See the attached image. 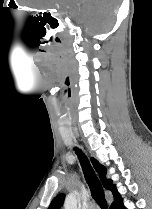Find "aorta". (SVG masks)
Returning a JSON list of instances; mask_svg holds the SVG:
<instances>
[{"mask_svg":"<svg viewBox=\"0 0 152 209\" xmlns=\"http://www.w3.org/2000/svg\"><path fill=\"white\" fill-rule=\"evenodd\" d=\"M64 209H77V193L71 192L65 198Z\"/></svg>","mask_w":152,"mask_h":209,"instance_id":"aorta-1","label":"aorta"}]
</instances>
